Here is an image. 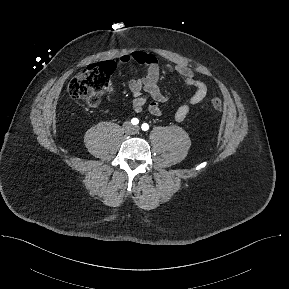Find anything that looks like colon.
I'll use <instances>...</instances> for the list:
<instances>
[{
	"label": "colon",
	"mask_w": 289,
	"mask_h": 289,
	"mask_svg": "<svg viewBox=\"0 0 289 289\" xmlns=\"http://www.w3.org/2000/svg\"><path fill=\"white\" fill-rule=\"evenodd\" d=\"M115 69L112 62H102L89 65L82 69L67 86L68 94L74 99H84L88 105L95 108L101 97L112 91L110 77ZM211 104L214 109H222V101L213 98Z\"/></svg>",
	"instance_id": "5ec220e1"
}]
</instances>
